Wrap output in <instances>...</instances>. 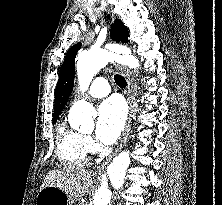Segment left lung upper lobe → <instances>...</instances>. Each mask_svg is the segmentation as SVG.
I'll use <instances>...</instances> for the list:
<instances>
[{
  "label": "left lung upper lobe",
  "mask_w": 222,
  "mask_h": 205,
  "mask_svg": "<svg viewBox=\"0 0 222 205\" xmlns=\"http://www.w3.org/2000/svg\"><path fill=\"white\" fill-rule=\"evenodd\" d=\"M110 34L114 41L128 42V28L124 26L121 20L116 19L114 21ZM80 47L81 43L72 46L68 50L65 60L60 67L59 80L55 90V108L52 115L54 117L52 121L54 122L57 121L59 114L71 95L74 85L75 57Z\"/></svg>",
  "instance_id": "left-lung-upper-lobe-1"
}]
</instances>
